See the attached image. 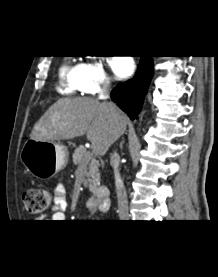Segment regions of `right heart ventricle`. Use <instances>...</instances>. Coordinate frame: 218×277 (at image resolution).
<instances>
[{
	"label": "right heart ventricle",
	"mask_w": 218,
	"mask_h": 277,
	"mask_svg": "<svg viewBox=\"0 0 218 277\" xmlns=\"http://www.w3.org/2000/svg\"><path fill=\"white\" fill-rule=\"evenodd\" d=\"M79 70L80 65L72 64L70 61H66L62 64L59 69V93L71 96L81 91L78 83Z\"/></svg>",
	"instance_id": "obj_1"
}]
</instances>
